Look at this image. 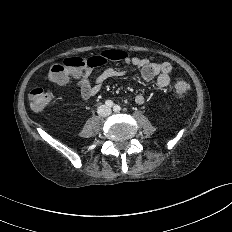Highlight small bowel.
<instances>
[{"mask_svg":"<svg viewBox=\"0 0 232 232\" xmlns=\"http://www.w3.org/2000/svg\"><path fill=\"white\" fill-rule=\"evenodd\" d=\"M99 61L84 71L74 75L72 78L76 80L80 96L83 100H88L97 95L105 81L111 78L122 77L126 71L107 68L100 73L94 80H92V69L94 67L105 65L110 61L121 62L127 66H131L135 70H139L144 80L150 81L156 79L158 89H165L171 81L172 66L169 62H154L148 58L130 57L126 51L113 49L102 52ZM49 75V74H48ZM49 79V77H48ZM70 79V78H69ZM69 79L60 82L50 81L57 86L65 85ZM135 102L143 105L146 102L144 93H138L135 96Z\"/></svg>","mask_w":232,"mask_h":232,"instance_id":"obj_1","label":"small bowel"}]
</instances>
